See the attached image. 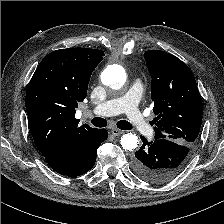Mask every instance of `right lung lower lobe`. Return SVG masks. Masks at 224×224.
Returning <instances> with one entry per match:
<instances>
[{
    "label": "right lung lower lobe",
    "instance_id": "obj_1",
    "mask_svg": "<svg viewBox=\"0 0 224 224\" xmlns=\"http://www.w3.org/2000/svg\"><path fill=\"white\" fill-rule=\"evenodd\" d=\"M108 137L105 129H98L86 142L80 144L73 155L59 168H52L57 173L76 177L85 174L94 166L97 149Z\"/></svg>",
    "mask_w": 224,
    "mask_h": 224
}]
</instances>
